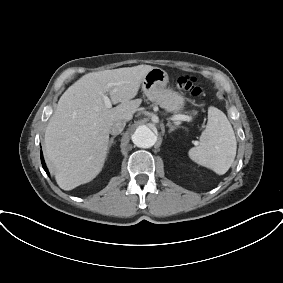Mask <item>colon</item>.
<instances>
[{"instance_id": "5ec220e1", "label": "colon", "mask_w": 283, "mask_h": 283, "mask_svg": "<svg viewBox=\"0 0 283 283\" xmlns=\"http://www.w3.org/2000/svg\"><path fill=\"white\" fill-rule=\"evenodd\" d=\"M176 85L178 88L187 91L194 97H200L203 93L201 84L192 76L183 75L178 77Z\"/></svg>"}]
</instances>
